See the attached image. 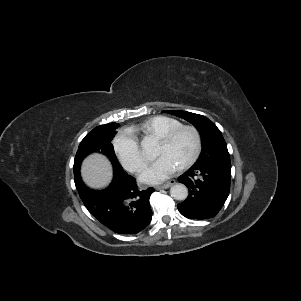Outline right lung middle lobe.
Listing matches in <instances>:
<instances>
[{
	"mask_svg": "<svg viewBox=\"0 0 301 301\" xmlns=\"http://www.w3.org/2000/svg\"><path fill=\"white\" fill-rule=\"evenodd\" d=\"M117 123H109L94 128L89 132L79 144L75 160L74 174L79 175V168L82 160L92 152H101L106 154L112 161L114 167H121L114 153L112 139L116 134Z\"/></svg>",
	"mask_w": 301,
	"mask_h": 301,
	"instance_id": "dd1d6c3e",
	"label": "right lung middle lobe"
}]
</instances>
